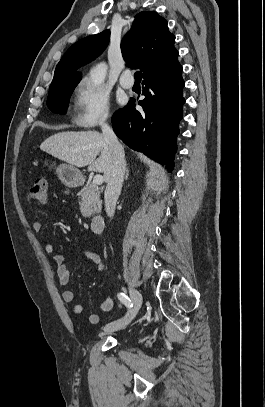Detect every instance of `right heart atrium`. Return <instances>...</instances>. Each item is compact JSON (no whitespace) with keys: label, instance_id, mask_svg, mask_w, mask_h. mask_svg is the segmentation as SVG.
Segmentation results:
<instances>
[{"label":"right heart atrium","instance_id":"1","mask_svg":"<svg viewBox=\"0 0 265 407\" xmlns=\"http://www.w3.org/2000/svg\"><path fill=\"white\" fill-rule=\"evenodd\" d=\"M110 103L106 92L88 80L75 90L74 121L79 127L94 128L110 120Z\"/></svg>","mask_w":265,"mask_h":407}]
</instances>
